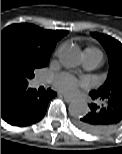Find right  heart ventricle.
Returning a JSON list of instances; mask_svg holds the SVG:
<instances>
[{"label": "right heart ventricle", "mask_w": 122, "mask_h": 154, "mask_svg": "<svg viewBox=\"0 0 122 154\" xmlns=\"http://www.w3.org/2000/svg\"><path fill=\"white\" fill-rule=\"evenodd\" d=\"M88 50L99 52V50H97V49H95V48H88V49H86V51H88Z\"/></svg>", "instance_id": "right-heart-ventricle-1"}]
</instances>
